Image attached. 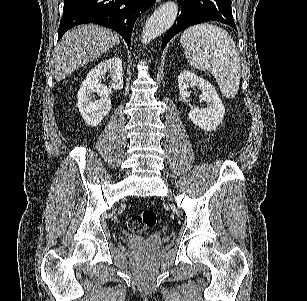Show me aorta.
Listing matches in <instances>:
<instances>
[{
	"label": "aorta",
	"instance_id": "762f6f07",
	"mask_svg": "<svg viewBox=\"0 0 307 301\" xmlns=\"http://www.w3.org/2000/svg\"><path fill=\"white\" fill-rule=\"evenodd\" d=\"M178 14V4L174 0L163 2L159 8L154 10L153 14L147 18L141 36V42L147 44L151 38L160 36L166 32L176 20Z\"/></svg>",
	"mask_w": 307,
	"mask_h": 301
}]
</instances>
